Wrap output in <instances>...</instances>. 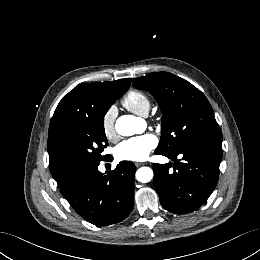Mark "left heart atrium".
I'll return each instance as SVG.
<instances>
[{
	"label": "left heart atrium",
	"mask_w": 260,
	"mask_h": 260,
	"mask_svg": "<svg viewBox=\"0 0 260 260\" xmlns=\"http://www.w3.org/2000/svg\"><path fill=\"white\" fill-rule=\"evenodd\" d=\"M157 138L152 134H144L123 141L115 148V156L124 161L145 160L156 147Z\"/></svg>",
	"instance_id": "39dd6f15"
}]
</instances>
